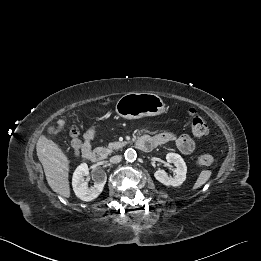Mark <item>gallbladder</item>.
<instances>
[{
    "mask_svg": "<svg viewBox=\"0 0 261 261\" xmlns=\"http://www.w3.org/2000/svg\"><path fill=\"white\" fill-rule=\"evenodd\" d=\"M48 132H49L50 134H57V129H56L55 127H50V128L48 129Z\"/></svg>",
    "mask_w": 261,
    "mask_h": 261,
    "instance_id": "gallbladder-1",
    "label": "gallbladder"
}]
</instances>
